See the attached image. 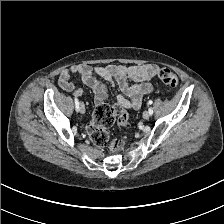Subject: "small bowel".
Instances as JSON below:
<instances>
[{
  "instance_id": "c3829d8e",
  "label": "small bowel",
  "mask_w": 224,
  "mask_h": 224,
  "mask_svg": "<svg viewBox=\"0 0 224 224\" xmlns=\"http://www.w3.org/2000/svg\"><path fill=\"white\" fill-rule=\"evenodd\" d=\"M158 72V67L152 64L120 65L109 64L104 66H91L79 64L64 69L59 77V86L66 91L73 92L75 96L84 94L82 88L71 82V75L78 74L83 83L94 93L96 106L103 104L107 98V89L98 77L116 85L122 94L117 95L120 105L126 109L137 110L142 105V97L153 91V86L147 81ZM130 81L134 83L131 84Z\"/></svg>"
}]
</instances>
